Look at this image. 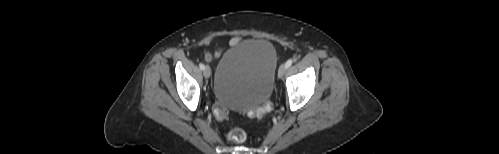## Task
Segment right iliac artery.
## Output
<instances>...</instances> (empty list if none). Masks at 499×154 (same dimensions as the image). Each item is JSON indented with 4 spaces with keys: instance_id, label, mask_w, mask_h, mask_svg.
<instances>
[{
    "instance_id": "right-iliac-artery-1",
    "label": "right iliac artery",
    "mask_w": 499,
    "mask_h": 154,
    "mask_svg": "<svg viewBox=\"0 0 499 154\" xmlns=\"http://www.w3.org/2000/svg\"><path fill=\"white\" fill-rule=\"evenodd\" d=\"M199 67H200V69H201V70H204V68H205V66H204V64H203V63H200V64H199Z\"/></svg>"
}]
</instances>
